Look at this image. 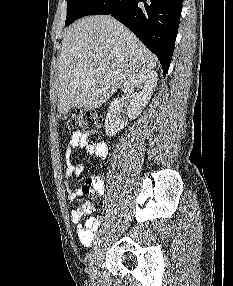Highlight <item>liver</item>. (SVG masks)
I'll return each mask as SVG.
<instances>
[{
	"label": "liver",
	"instance_id": "liver-1",
	"mask_svg": "<svg viewBox=\"0 0 233 286\" xmlns=\"http://www.w3.org/2000/svg\"><path fill=\"white\" fill-rule=\"evenodd\" d=\"M156 64L154 55L113 17L79 19L62 41L58 112L99 108L127 79Z\"/></svg>",
	"mask_w": 233,
	"mask_h": 286
}]
</instances>
